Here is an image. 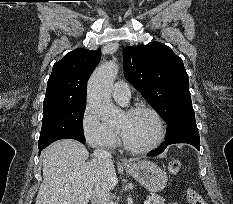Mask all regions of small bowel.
<instances>
[{
  "mask_svg": "<svg viewBox=\"0 0 233 204\" xmlns=\"http://www.w3.org/2000/svg\"><path fill=\"white\" fill-rule=\"evenodd\" d=\"M169 204H178V203H169Z\"/></svg>",
  "mask_w": 233,
  "mask_h": 204,
  "instance_id": "small-bowel-1",
  "label": "small bowel"
}]
</instances>
